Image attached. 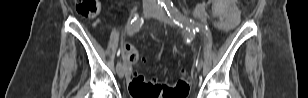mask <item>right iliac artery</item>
I'll return each mask as SVG.
<instances>
[{"label":"right iliac artery","mask_w":308,"mask_h":98,"mask_svg":"<svg viewBox=\"0 0 308 98\" xmlns=\"http://www.w3.org/2000/svg\"><path fill=\"white\" fill-rule=\"evenodd\" d=\"M161 6H163V4H161ZM144 23V19L140 18V17H135L132 21L131 24L128 26L127 28V34L129 35H133L135 32H137L141 26ZM120 55V50H118L117 52V56ZM121 67V62H118L116 65V70L118 71Z\"/></svg>","instance_id":"1"}]
</instances>
